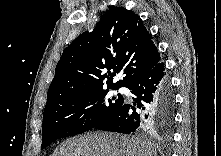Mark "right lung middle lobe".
<instances>
[{
	"label": "right lung middle lobe",
	"mask_w": 221,
	"mask_h": 156,
	"mask_svg": "<svg viewBox=\"0 0 221 156\" xmlns=\"http://www.w3.org/2000/svg\"><path fill=\"white\" fill-rule=\"evenodd\" d=\"M108 92L109 89L74 92L45 108L41 149L57 139L94 128L119 109L123 97H110Z\"/></svg>",
	"instance_id": "1"
}]
</instances>
